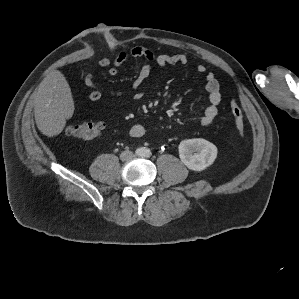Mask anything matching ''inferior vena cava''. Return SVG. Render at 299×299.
Segmentation results:
<instances>
[{
  "mask_svg": "<svg viewBox=\"0 0 299 299\" xmlns=\"http://www.w3.org/2000/svg\"><path fill=\"white\" fill-rule=\"evenodd\" d=\"M135 155L131 151H123L120 155L121 160L127 161L133 158Z\"/></svg>",
  "mask_w": 299,
  "mask_h": 299,
  "instance_id": "obj_1",
  "label": "inferior vena cava"
}]
</instances>
